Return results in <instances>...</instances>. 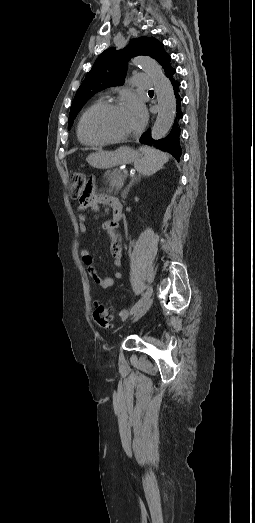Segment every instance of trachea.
<instances>
[{
  "label": "trachea",
  "instance_id": "3493384b",
  "mask_svg": "<svg viewBox=\"0 0 255 523\" xmlns=\"http://www.w3.org/2000/svg\"><path fill=\"white\" fill-rule=\"evenodd\" d=\"M149 92H152V93H153L154 91H153V90H149Z\"/></svg>",
  "mask_w": 255,
  "mask_h": 523
}]
</instances>
